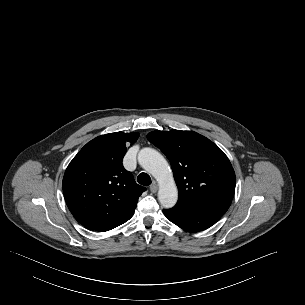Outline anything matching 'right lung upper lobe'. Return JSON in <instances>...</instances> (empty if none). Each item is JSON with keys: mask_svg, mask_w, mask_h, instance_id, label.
Wrapping results in <instances>:
<instances>
[{"mask_svg": "<svg viewBox=\"0 0 305 305\" xmlns=\"http://www.w3.org/2000/svg\"><path fill=\"white\" fill-rule=\"evenodd\" d=\"M138 133L115 132L88 142L68 165L63 178L66 204L88 229L111 230L134 214L146 188L136 184L122 164L126 148Z\"/></svg>", "mask_w": 305, "mask_h": 305, "instance_id": "cb5924a9", "label": "right lung upper lobe"}]
</instances>
